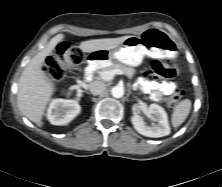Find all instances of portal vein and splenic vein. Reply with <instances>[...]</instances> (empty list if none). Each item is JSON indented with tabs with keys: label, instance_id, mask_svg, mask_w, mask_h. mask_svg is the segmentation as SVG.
I'll list each match as a JSON object with an SVG mask.
<instances>
[{
	"label": "portal vein and splenic vein",
	"instance_id": "portal-vein-and-splenic-vein-1",
	"mask_svg": "<svg viewBox=\"0 0 222 187\" xmlns=\"http://www.w3.org/2000/svg\"><path fill=\"white\" fill-rule=\"evenodd\" d=\"M123 72L119 69L111 70V71H103L100 73V78L104 81H110L114 78L115 75H122Z\"/></svg>",
	"mask_w": 222,
	"mask_h": 187
}]
</instances>
